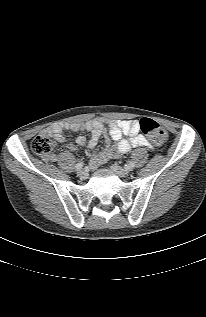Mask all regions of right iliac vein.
I'll return each instance as SVG.
<instances>
[{"label": "right iliac vein", "mask_w": 206, "mask_h": 317, "mask_svg": "<svg viewBox=\"0 0 206 317\" xmlns=\"http://www.w3.org/2000/svg\"><path fill=\"white\" fill-rule=\"evenodd\" d=\"M77 175L81 178H86L88 176V172L84 169H80L77 171Z\"/></svg>", "instance_id": "right-iliac-vein-1"}]
</instances>
